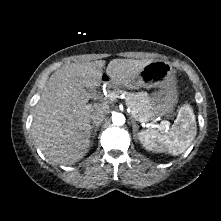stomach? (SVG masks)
Masks as SVG:
<instances>
[{
    "instance_id": "1",
    "label": "stomach",
    "mask_w": 221,
    "mask_h": 221,
    "mask_svg": "<svg viewBox=\"0 0 221 221\" xmlns=\"http://www.w3.org/2000/svg\"><path fill=\"white\" fill-rule=\"evenodd\" d=\"M133 88H155L150 98L154 116H167L178 102L176 71L169 62L156 60L147 64L130 83Z\"/></svg>"
}]
</instances>
